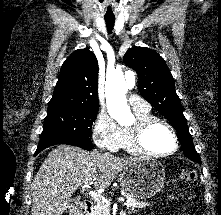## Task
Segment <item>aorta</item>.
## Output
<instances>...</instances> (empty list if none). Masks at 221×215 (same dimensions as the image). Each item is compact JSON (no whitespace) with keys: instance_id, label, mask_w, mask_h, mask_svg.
I'll list each match as a JSON object with an SVG mask.
<instances>
[{"instance_id":"762f6f07","label":"aorta","mask_w":221,"mask_h":215,"mask_svg":"<svg viewBox=\"0 0 221 215\" xmlns=\"http://www.w3.org/2000/svg\"><path fill=\"white\" fill-rule=\"evenodd\" d=\"M134 85V77L126 82L121 71L109 74L106 78L105 95L107 109L110 116L121 125H128L134 120L126 99L128 89L134 87Z\"/></svg>"}]
</instances>
